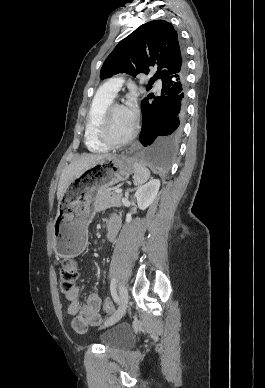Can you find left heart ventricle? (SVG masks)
<instances>
[{
    "label": "left heart ventricle",
    "instance_id": "left-heart-ventricle-1",
    "mask_svg": "<svg viewBox=\"0 0 265 388\" xmlns=\"http://www.w3.org/2000/svg\"><path fill=\"white\" fill-rule=\"evenodd\" d=\"M132 123L127 118L123 107L115 108L108 116L106 131L115 139L124 137L131 129Z\"/></svg>",
    "mask_w": 265,
    "mask_h": 388
}]
</instances>
